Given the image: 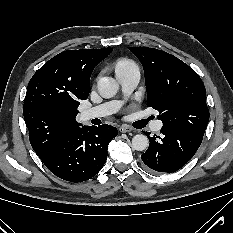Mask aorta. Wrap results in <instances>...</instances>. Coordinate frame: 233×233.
I'll list each match as a JSON object with an SVG mask.
<instances>
[{"mask_svg":"<svg viewBox=\"0 0 233 233\" xmlns=\"http://www.w3.org/2000/svg\"><path fill=\"white\" fill-rule=\"evenodd\" d=\"M98 91L104 98L113 97L118 89L119 84L113 78L102 77L97 83ZM148 138L144 134H137L132 138V148L137 151H143L148 148Z\"/></svg>","mask_w":233,"mask_h":233,"instance_id":"762f6f07","label":"aorta"}]
</instances>
